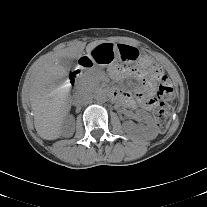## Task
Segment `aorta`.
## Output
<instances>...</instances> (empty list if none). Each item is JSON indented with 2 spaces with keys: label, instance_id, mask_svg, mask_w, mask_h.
I'll return each mask as SVG.
<instances>
[{
  "label": "aorta",
  "instance_id": "762f6f07",
  "mask_svg": "<svg viewBox=\"0 0 207 207\" xmlns=\"http://www.w3.org/2000/svg\"><path fill=\"white\" fill-rule=\"evenodd\" d=\"M95 99L97 103L103 104L107 101V95L105 92L100 91L96 94Z\"/></svg>",
  "mask_w": 207,
  "mask_h": 207
}]
</instances>
